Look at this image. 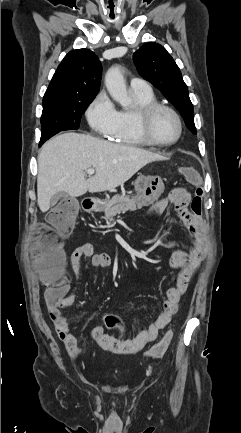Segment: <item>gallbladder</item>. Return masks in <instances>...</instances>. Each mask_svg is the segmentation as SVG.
<instances>
[{
  "instance_id": "1",
  "label": "gallbladder",
  "mask_w": 241,
  "mask_h": 433,
  "mask_svg": "<svg viewBox=\"0 0 241 433\" xmlns=\"http://www.w3.org/2000/svg\"><path fill=\"white\" fill-rule=\"evenodd\" d=\"M60 199H65L70 201V208H67L68 212L72 217H75L79 211V202L75 198L69 197L66 192H58L56 193L50 200V205L54 206Z\"/></svg>"
}]
</instances>
